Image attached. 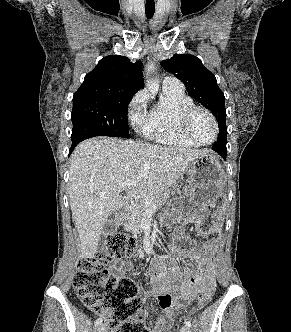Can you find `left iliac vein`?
<instances>
[{
    "label": "left iliac vein",
    "mask_w": 291,
    "mask_h": 332,
    "mask_svg": "<svg viewBox=\"0 0 291 332\" xmlns=\"http://www.w3.org/2000/svg\"><path fill=\"white\" fill-rule=\"evenodd\" d=\"M180 332H191L190 328L187 327V326H183L181 329H180Z\"/></svg>",
    "instance_id": "obj_1"
}]
</instances>
